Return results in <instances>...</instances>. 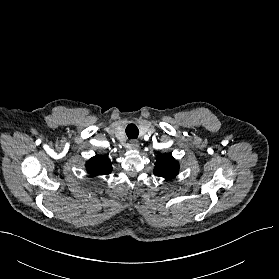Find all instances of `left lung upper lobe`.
<instances>
[{"instance_id":"left-lung-upper-lobe-1","label":"left lung upper lobe","mask_w":279,"mask_h":279,"mask_svg":"<svg viewBox=\"0 0 279 279\" xmlns=\"http://www.w3.org/2000/svg\"><path fill=\"white\" fill-rule=\"evenodd\" d=\"M179 171L178 162L171 153L158 155L156 158L154 174L167 180L174 178Z\"/></svg>"}]
</instances>
